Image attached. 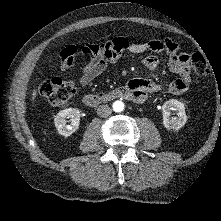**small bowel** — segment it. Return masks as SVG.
<instances>
[{"label": "small bowel", "instance_id": "small-bowel-1", "mask_svg": "<svg viewBox=\"0 0 221 221\" xmlns=\"http://www.w3.org/2000/svg\"><path fill=\"white\" fill-rule=\"evenodd\" d=\"M124 51L133 54L150 52H165L168 55L167 66L178 78L163 85L151 79H132L126 87L132 93V99L143 102L151 92L167 90L171 94L179 95L186 92L191 84L190 66L187 55L179 51L176 42L169 38L151 39L145 43H134L126 38H115L103 44H85L80 52L89 57V61L80 71L79 82L82 86L89 85L100 76L110 65L115 64ZM143 64L151 71H156L159 60L155 55H147Z\"/></svg>", "mask_w": 221, "mask_h": 221}]
</instances>
